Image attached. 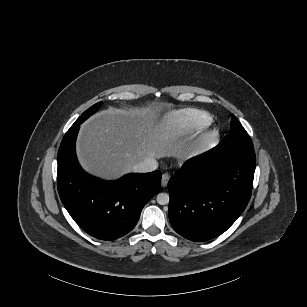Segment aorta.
I'll list each match as a JSON object with an SVG mask.
<instances>
[{"mask_svg": "<svg viewBox=\"0 0 307 307\" xmlns=\"http://www.w3.org/2000/svg\"><path fill=\"white\" fill-rule=\"evenodd\" d=\"M157 203L160 205H166L169 203V195L167 193H159L156 197Z\"/></svg>", "mask_w": 307, "mask_h": 307, "instance_id": "obj_1", "label": "aorta"}]
</instances>
